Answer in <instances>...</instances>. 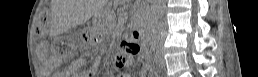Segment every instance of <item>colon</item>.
Wrapping results in <instances>:
<instances>
[{"instance_id": "colon-1", "label": "colon", "mask_w": 258, "mask_h": 77, "mask_svg": "<svg viewBox=\"0 0 258 77\" xmlns=\"http://www.w3.org/2000/svg\"><path fill=\"white\" fill-rule=\"evenodd\" d=\"M49 28V16L47 12H42L39 16V21L36 27V34L43 36L47 33ZM137 44L136 39L129 38L123 41L120 45V50L116 55L115 62L119 67H128L131 64V55L134 47Z\"/></svg>"}]
</instances>
